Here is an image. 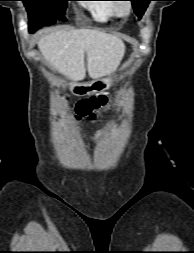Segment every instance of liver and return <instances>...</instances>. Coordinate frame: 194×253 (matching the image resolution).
Instances as JSON below:
<instances>
[{
    "instance_id": "obj_1",
    "label": "liver",
    "mask_w": 194,
    "mask_h": 253,
    "mask_svg": "<svg viewBox=\"0 0 194 253\" xmlns=\"http://www.w3.org/2000/svg\"><path fill=\"white\" fill-rule=\"evenodd\" d=\"M38 47L52 68L74 82L85 78V54L89 76L98 79L114 72L125 53L120 38L95 29L51 32L38 41Z\"/></svg>"
}]
</instances>
